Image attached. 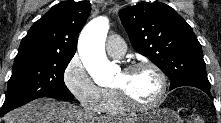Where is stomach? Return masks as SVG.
<instances>
[{
  "label": "stomach",
  "mask_w": 221,
  "mask_h": 123,
  "mask_svg": "<svg viewBox=\"0 0 221 123\" xmlns=\"http://www.w3.org/2000/svg\"><path fill=\"white\" fill-rule=\"evenodd\" d=\"M133 123H181V119L169 108H155L135 117Z\"/></svg>",
  "instance_id": "1"
}]
</instances>
